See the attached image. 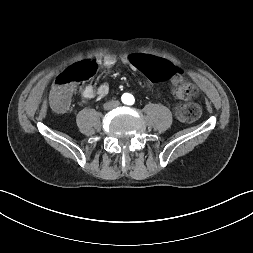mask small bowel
<instances>
[{
    "instance_id": "small-bowel-1",
    "label": "small bowel",
    "mask_w": 253,
    "mask_h": 253,
    "mask_svg": "<svg viewBox=\"0 0 253 253\" xmlns=\"http://www.w3.org/2000/svg\"><path fill=\"white\" fill-rule=\"evenodd\" d=\"M131 54H128L126 56L122 57V62L127 64L130 68H132L133 70H139L137 69L130 61H129V56ZM117 59L114 55L112 54H105L101 57V62L102 64L107 67L110 68L112 67L115 63H116ZM165 78V77H164ZM171 81V83L173 85H177L181 82L182 80V75L180 72L175 70V73L171 76L168 77ZM109 93V85L106 83H103L101 85H99L98 87L93 86L92 84H88L86 85L83 89H82V96L85 99H92L96 96L98 97H104Z\"/></svg>"
}]
</instances>
